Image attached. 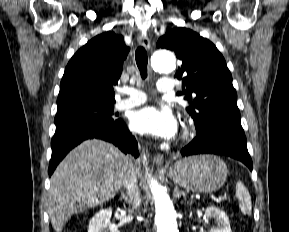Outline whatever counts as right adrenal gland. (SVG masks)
<instances>
[{
	"mask_svg": "<svg viewBox=\"0 0 289 232\" xmlns=\"http://www.w3.org/2000/svg\"><path fill=\"white\" fill-rule=\"evenodd\" d=\"M121 197L124 199L125 202H127L128 197L123 192L121 193Z\"/></svg>",
	"mask_w": 289,
	"mask_h": 232,
	"instance_id": "right-adrenal-gland-1",
	"label": "right adrenal gland"
}]
</instances>
